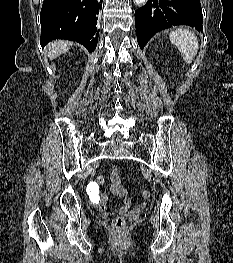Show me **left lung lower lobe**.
Instances as JSON below:
<instances>
[{
    "label": "left lung lower lobe",
    "mask_w": 233,
    "mask_h": 263,
    "mask_svg": "<svg viewBox=\"0 0 233 263\" xmlns=\"http://www.w3.org/2000/svg\"><path fill=\"white\" fill-rule=\"evenodd\" d=\"M199 0H148L135 11L137 41L143 48L158 31L173 25H188L203 32Z\"/></svg>",
    "instance_id": "0a47b994"
}]
</instances>
